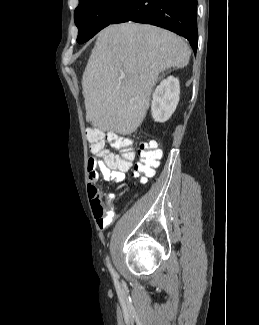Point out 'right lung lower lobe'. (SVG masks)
Returning <instances> with one entry per match:
<instances>
[{
  "label": "right lung lower lobe",
  "instance_id": "right-lung-lower-lobe-1",
  "mask_svg": "<svg viewBox=\"0 0 259 325\" xmlns=\"http://www.w3.org/2000/svg\"><path fill=\"white\" fill-rule=\"evenodd\" d=\"M135 21L185 37L194 52L198 45L197 0H127L110 24Z\"/></svg>",
  "mask_w": 259,
  "mask_h": 325
}]
</instances>
